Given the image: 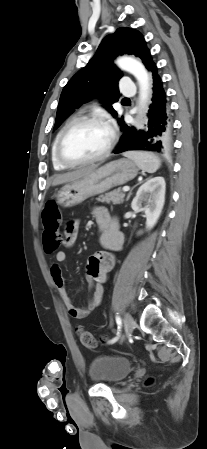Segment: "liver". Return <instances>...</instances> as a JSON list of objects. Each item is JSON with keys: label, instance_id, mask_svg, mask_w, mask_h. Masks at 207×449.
Returning <instances> with one entry per match:
<instances>
[{"label": "liver", "instance_id": "liver-1", "mask_svg": "<svg viewBox=\"0 0 207 449\" xmlns=\"http://www.w3.org/2000/svg\"><path fill=\"white\" fill-rule=\"evenodd\" d=\"M95 168H96V166H92V167H87V168L79 169L76 171H72L69 173L56 175L52 181V186H57L60 184L73 182V181L87 175L88 173L92 172L93 170H95Z\"/></svg>", "mask_w": 207, "mask_h": 449}]
</instances>
